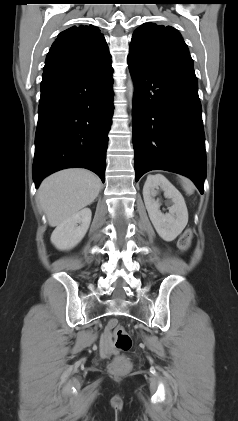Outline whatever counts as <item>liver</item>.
<instances>
[{
    "label": "liver",
    "instance_id": "liver-1",
    "mask_svg": "<svg viewBox=\"0 0 238 421\" xmlns=\"http://www.w3.org/2000/svg\"><path fill=\"white\" fill-rule=\"evenodd\" d=\"M101 181L85 169H67L45 178L37 198L50 226H58L98 196Z\"/></svg>",
    "mask_w": 238,
    "mask_h": 421
}]
</instances>
